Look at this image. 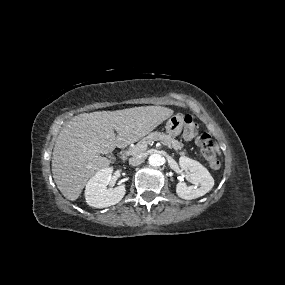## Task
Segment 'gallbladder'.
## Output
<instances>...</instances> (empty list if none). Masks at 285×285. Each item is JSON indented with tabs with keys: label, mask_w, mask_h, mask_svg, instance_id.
Returning a JSON list of instances; mask_svg holds the SVG:
<instances>
[{
	"label": "gallbladder",
	"mask_w": 285,
	"mask_h": 285,
	"mask_svg": "<svg viewBox=\"0 0 285 285\" xmlns=\"http://www.w3.org/2000/svg\"><path fill=\"white\" fill-rule=\"evenodd\" d=\"M108 157L112 160V156L111 155H109Z\"/></svg>",
	"instance_id": "1"
}]
</instances>
